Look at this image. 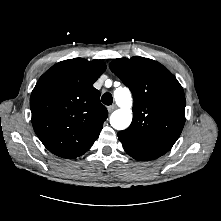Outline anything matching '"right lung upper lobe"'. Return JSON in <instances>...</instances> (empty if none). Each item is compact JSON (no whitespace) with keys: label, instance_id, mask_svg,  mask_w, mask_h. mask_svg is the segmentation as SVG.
<instances>
[{"label":"right lung upper lobe","instance_id":"obj_1","mask_svg":"<svg viewBox=\"0 0 221 221\" xmlns=\"http://www.w3.org/2000/svg\"><path fill=\"white\" fill-rule=\"evenodd\" d=\"M106 70L102 60L74 58L47 70L30 98L32 125L53 154L74 159L98 138L108 111L93 87Z\"/></svg>","mask_w":221,"mask_h":221}]
</instances>
